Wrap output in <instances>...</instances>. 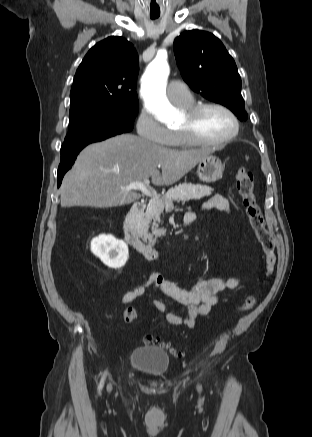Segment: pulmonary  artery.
Instances as JSON below:
<instances>
[{
  "mask_svg": "<svg viewBox=\"0 0 312 437\" xmlns=\"http://www.w3.org/2000/svg\"><path fill=\"white\" fill-rule=\"evenodd\" d=\"M166 93L168 98L177 105L187 104L193 99L187 85L180 81L169 82Z\"/></svg>",
  "mask_w": 312,
  "mask_h": 437,
  "instance_id": "e3ab8cb5",
  "label": "pulmonary artery"
}]
</instances>
